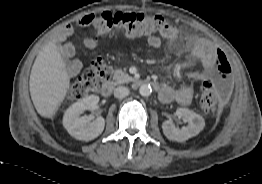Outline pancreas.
I'll list each match as a JSON object with an SVG mask.
<instances>
[{
  "label": "pancreas",
  "instance_id": "obj_1",
  "mask_svg": "<svg viewBox=\"0 0 262 184\" xmlns=\"http://www.w3.org/2000/svg\"><path fill=\"white\" fill-rule=\"evenodd\" d=\"M113 79L115 80L116 84L128 83L134 80V78H132L120 69L115 71Z\"/></svg>",
  "mask_w": 262,
  "mask_h": 184
}]
</instances>
